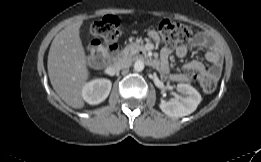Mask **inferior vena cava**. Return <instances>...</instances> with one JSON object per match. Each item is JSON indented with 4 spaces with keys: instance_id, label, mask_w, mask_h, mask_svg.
I'll return each instance as SVG.
<instances>
[{
    "instance_id": "obj_1",
    "label": "inferior vena cava",
    "mask_w": 261,
    "mask_h": 162,
    "mask_svg": "<svg viewBox=\"0 0 261 162\" xmlns=\"http://www.w3.org/2000/svg\"><path fill=\"white\" fill-rule=\"evenodd\" d=\"M130 65H131V61H130V60H128V59H123V60L118 61V62L114 65V69L120 70V69H123V68H129Z\"/></svg>"
}]
</instances>
